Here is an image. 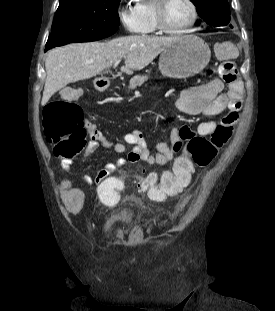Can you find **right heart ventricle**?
Wrapping results in <instances>:
<instances>
[{
	"label": "right heart ventricle",
	"mask_w": 275,
	"mask_h": 311,
	"mask_svg": "<svg viewBox=\"0 0 275 311\" xmlns=\"http://www.w3.org/2000/svg\"><path fill=\"white\" fill-rule=\"evenodd\" d=\"M155 0H137L134 6L135 13L141 20L142 35H151L157 32L155 15H154Z\"/></svg>",
	"instance_id": "e07e8e85"
}]
</instances>
